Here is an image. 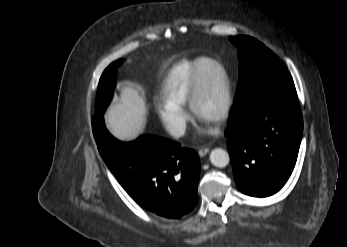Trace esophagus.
<instances>
[{"instance_id": "obj_1", "label": "esophagus", "mask_w": 347, "mask_h": 247, "mask_svg": "<svg viewBox=\"0 0 347 247\" xmlns=\"http://www.w3.org/2000/svg\"><path fill=\"white\" fill-rule=\"evenodd\" d=\"M208 152H209V148L208 147H203V148H200L198 150V154H199L200 157L205 156Z\"/></svg>"}]
</instances>
